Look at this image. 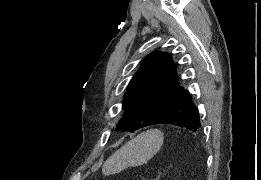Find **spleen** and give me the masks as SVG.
Wrapping results in <instances>:
<instances>
[{
  "label": "spleen",
  "mask_w": 261,
  "mask_h": 180,
  "mask_svg": "<svg viewBox=\"0 0 261 180\" xmlns=\"http://www.w3.org/2000/svg\"><path fill=\"white\" fill-rule=\"evenodd\" d=\"M164 136L160 130H147L141 132L139 136L129 140L120 150L114 152L106 162L103 168V174H119L126 168H135V166H143L147 164L161 146H163Z\"/></svg>",
  "instance_id": "spleen-1"
}]
</instances>
